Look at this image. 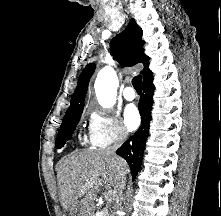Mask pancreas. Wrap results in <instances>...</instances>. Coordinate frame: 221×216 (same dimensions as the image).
I'll return each instance as SVG.
<instances>
[{"mask_svg": "<svg viewBox=\"0 0 221 216\" xmlns=\"http://www.w3.org/2000/svg\"><path fill=\"white\" fill-rule=\"evenodd\" d=\"M99 216H113L107 208H104L100 211V215Z\"/></svg>", "mask_w": 221, "mask_h": 216, "instance_id": "obj_1", "label": "pancreas"}]
</instances>
